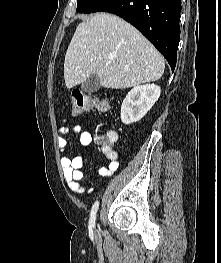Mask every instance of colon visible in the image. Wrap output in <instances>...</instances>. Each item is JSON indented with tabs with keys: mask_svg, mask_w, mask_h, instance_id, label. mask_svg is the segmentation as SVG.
Listing matches in <instances>:
<instances>
[{
	"mask_svg": "<svg viewBox=\"0 0 221 263\" xmlns=\"http://www.w3.org/2000/svg\"><path fill=\"white\" fill-rule=\"evenodd\" d=\"M92 109L106 110L107 100L93 98L86 94H73L72 95V116H79Z\"/></svg>",
	"mask_w": 221,
	"mask_h": 263,
	"instance_id": "obj_1",
	"label": "colon"
}]
</instances>
